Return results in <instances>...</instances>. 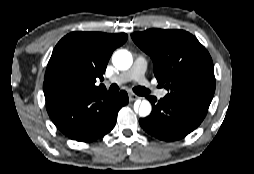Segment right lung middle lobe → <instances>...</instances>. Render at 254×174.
I'll return each mask as SVG.
<instances>
[{
    "instance_id": "obj_1",
    "label": "right lung middle lobe",
    "mask_w": 254,
    "mask_h": 174,
    "mask_svg": "<svg viewBox=\"0 0 254 174\" xmlns=\"http://www.w3.org/2000/svg\"><path fill=\"white\" fill-rule=\"evenodd\" d=\"M77 92H81L79 88L72 86V85H63L58 88V90L56 92V97L59 98V97L74 94Z\"/></svg>"
}]
</instances>
